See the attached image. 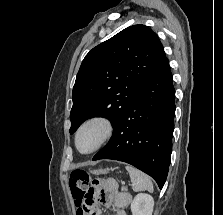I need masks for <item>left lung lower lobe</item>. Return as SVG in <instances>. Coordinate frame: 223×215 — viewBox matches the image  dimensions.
Here are the masks:
<instances>
[{
    "mask_svg": "<svg viewBox=\"0 0 223 215\" xmlns=\"http://www.w3.org/2000/svg\"><path fill=\"white\" fill-rule=\"evenodd\" d=\"M175 89L164 60L126 109L108 144L92 160L129 163L162 189L168 174L174 130Z\"/></svg>",
    "mask_w": 223,
    "mask_h": 215,
    "instance_id": "1",
    "label": "left lung lower lobe"
}]
</instances>
